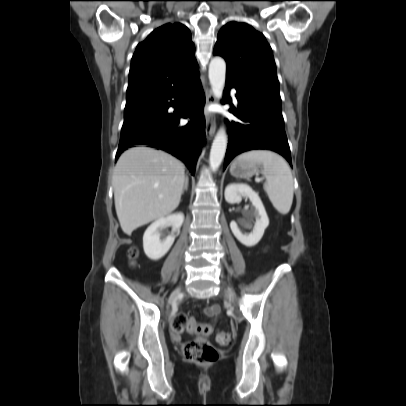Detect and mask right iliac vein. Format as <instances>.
I'll use <instances>...</instances> for the list:
<instances>
[{
  "instance_id": "1",
  "label": "right iliac vein",
  "mask_w": 406,
  "mask_h": 406,
  "mask_svg": "<svg viewBox=\"0 0 406 406\" xmlns=\"http://www.w3.org/2000/svg\"><path fill=\"white\" fill-rule=\"evenodd\" d=\"M181 293V287H177L170 295L169 299H168V303L172 304L175 299L177 298V296Z\"/></svg>"
}]
</instances>
